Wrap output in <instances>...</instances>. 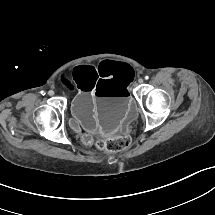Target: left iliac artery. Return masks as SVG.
<instances>
[{
	"instance_id": "obj_1",
	"label": "left iliac artery",
	"mask_w": 215,
	"mask_h": 215,
	"mask_svg": "<svg viewBox=\"0 0 215 215\" xmlns=\"http://www.w3.org/2000/svg\"><path fill=\"white\" fill-rule=\"evenodd\" d=\"M145 79L147 80V79H149V77H148V76H145Z\"/></svg>"
}]
</instances>
